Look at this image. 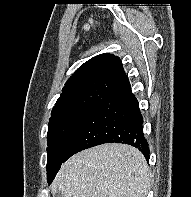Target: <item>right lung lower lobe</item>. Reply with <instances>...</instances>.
Masks as SVG:
<instances>
[{
  "instance_id": "1",
  "label": "right lung lower lobe",
  "mask_w": 191,
  "mask_h": 197,
  "mask_svg": "<svg viewBox=\"0 0 191 197\" xmlns=\"http://www.w3.org/2000/svg\"><path fill=\"white\" fill-rule=\"evenodd\" d=\"M112 142L132 145L149 160L150 150L143 133V118L129 81L113 89L94 105L65 161L81 150Z\"/></svg>"
}]
</instances>
